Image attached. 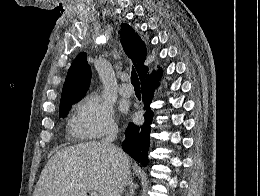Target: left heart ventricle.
Segmentation results:
<instances>
[{
    "instance_id": "1",
    "label": "left heart ventricle",
    "mask_w": 260,
    "mask_h": 196,
    "mask_svg": "<svg viewBox=\"0 0 260 196\" xmlns=\"http://www.w3.org/2000/svg\"><path fill=\"white\" fill-rule=\"evenodd\" d=\"M97 192H106V190H95ZM55 192H66V190H55Z\"/></svg>"
}]
</instances>
